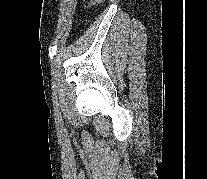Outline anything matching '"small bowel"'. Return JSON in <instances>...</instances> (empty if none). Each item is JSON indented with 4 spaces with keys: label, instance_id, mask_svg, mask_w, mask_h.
<instances>
[{
    "label": "small bowel",
    "instance_id": "small-bowel-1",
    "mask_svg": "<svg viewBox=\"0 0 207 179\" xmlns=\"http://www.w3.org/2000/svg\"><path fill=\"white\" fill-rule=\"evenodd\" d=\"M93 2H99V1H101V0H92Z\"/></svg>",
    "mask_w": 207,
    "mask_h": 179
}]
</instances>
